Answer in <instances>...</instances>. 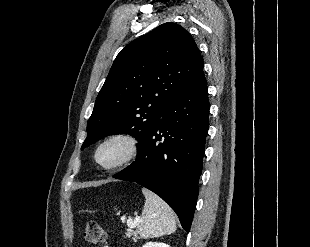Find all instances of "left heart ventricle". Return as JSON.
Returning <instances> with one entry per match:
<instances>
[{
    "label": "left heart ventricle",
    "instance_id": "b2bd125f",
    "mask_svg": "<svg viewBox=\"0 0 310 247\" xmlns=\"http://www.w3.org/2000/svg\"><path fill=\"white\" fill-rule=\"evenodd\" d=\"M125 148L122 143L112 142L106 144L99 152V160L102 164L111 165L117 162L124 154Z\"/></svg>",
    "mask_w": 310,
    "mask_h": 247
}]
</instances>
